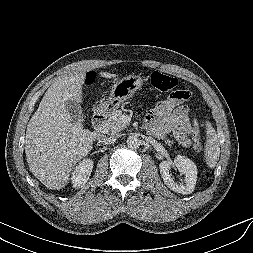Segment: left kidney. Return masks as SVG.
<instances>
[{
    "mask_svg": "<svg viewBox=\"0 0 253 253\" xmlns=\"http://www.w3.org/2000/svg\"><path fill=\"white\" fill-rule=\"evenodd\" d=\"M172 166L177 167L181 175L185 176V179L181 183H177L172 175L170 174V169ZM161 177L172 191L181 193L184 195L191 194L196 185L197 181V167L193 161L189 158L177 155L173 162L162 161L159 164Z\"/></svg>",
    "mask_w": 253,
    "mask_h": 253,
    "instance_id": "left-kidney-1",
    "label": "left kidney"
}]
</instances>
